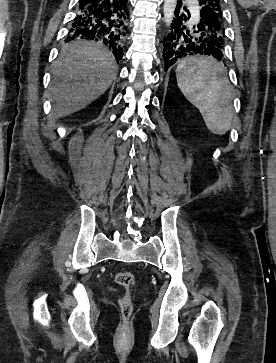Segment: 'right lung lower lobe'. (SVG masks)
<instances>
[{
  "instance_id": "right-lung-lower-lobe-1",
  "label": "right lung lower lobe",
  "mask_w": 276,
  "mask_h": 363,
  "mask_svg": "<svg viewBox=\"0 0 276 363\" xmlns=\"http://www.w3.org/2000/svg\"><path fill=\"white\" fill-rule=\"evenodd\" d=\"M128 26V0H79L67 40L99 41L119 61L123 56Z\"/></svg>"
}]
</instances>
